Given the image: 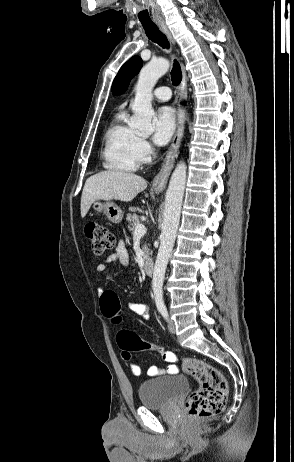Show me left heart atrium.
Listing matches in <instances>:
<instances>
[{
	"instance_id": "left-heart-atrium-1",
	"label": "left heart atrium",
	"mask_w": 294,
	"mask_h": 462,
	"mask_svg": "<svg viewBox=\"0 0 294 462\" xmlns=\"http://www.w3.org/2000/svg\"><path fill=\"white\" fill-rule=\"evenodd\" d=\"M176 128L174 110L168 106L158 110L154 117V140L158 145L169 142Z\"/></svg>"
}]
</instances>
